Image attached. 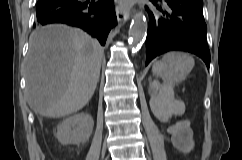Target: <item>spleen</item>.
<instances>
[{
  "label": "spleen",
  "mask_w": 242,
  "mask_h": 160,
  "mask_svg": "<svg viewBox=\"0 0 242 160\" xmlns=\"http://www.w3.org/2000/svg\"><path fill=\"white\" fill-rule=\"evenodd\" d=\"M174 53L166 54L161 61H156L152 66L154 75L164 76L171 68L178 69L180 65H174L177 61L173 60ZM194 62V61H193ZM166 83L160 84L158 81L152 83V88L159 90L156 99L167 106V110L171 113H176V101L174 100L173 83L175 78H166Z\"/></svg>",
  "instance_id": "obj_1"
}]
</instances>
